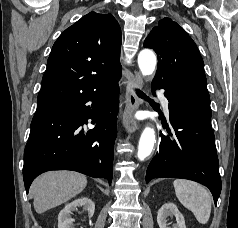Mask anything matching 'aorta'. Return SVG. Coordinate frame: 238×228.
<instances>
[{
  "label": "aorta",
  "mask_w": 238,
  "mask_h": 228,
  "mask_svg": "<svg viewBox=\"0 0 238 228\" xmlns=\"http://www.w3.org/2000/svg\"><path fill=\"white\" fill-rule=\"evenodd\" d=\"M157 58L155 53L150 49H143L138 54V65L143 76L152 75L155 71ZM155 131L147 126L141 133L137 156L139 160H145L153 151L155 145Z\"/></svg>",
  "instance_id": "aorta-1"
}]
</instances>
